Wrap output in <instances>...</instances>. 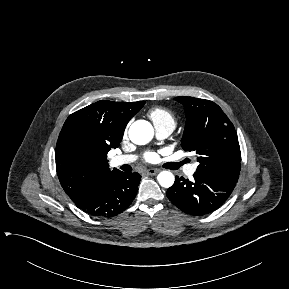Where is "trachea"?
Masks as SVG:
<instances>
[{"label": "trachea", "mask_w": 289, "mask_h": 289, "mask_svg": "<svg viewBox=\"0 0 289 289\" xmlns=\"http://www.w3.org/2000/svg\"><path fill=\"white\" fill-rule=\"evenodd\" d=\"M184 163H186V161H182V162H179V163H175L174 164V169H178L180 166H182Z\"/></svg>", "instance_id": "3493384b"}]
</instances>
